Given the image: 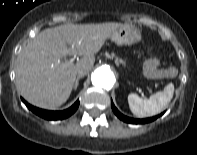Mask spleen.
<instances>
[{"label": "spleen", "instance_id": "spleen-1", "mask_svg": "<svg viewBox=\"0 0 197 155\" xmlns=\"http://www.w3.org/2000/svg\"><path fill=\"white\" fill-rule=\"evenodd\" d=\"M174 94V84L169 83L163 91L142 99L137 94L128 95V104L131 112L137 117H150L162 112L170 103Z\"/></svg>", "mask_w": 197, "mask_h": 155}]
</instances>
